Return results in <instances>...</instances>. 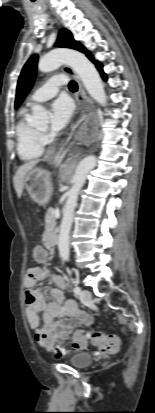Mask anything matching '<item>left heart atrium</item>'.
<instances>
[{
    "instance_id": "obj_1",
    "label": "left heart atrium",
    "mask_w": 155,
    "mask_h": 413,
    "mask_svg": "<svg viewBox=\"0 0 155 413\" xmlns=\"http://www.w3.org/2000/svg\"><path fill=\"white\" fill-rule=\"evenodd\" d=\"M73 105L65 97L55 100L51 106L50 131L53 135L60 133L70 122Z\"/></svg>"
}]
</instances>
